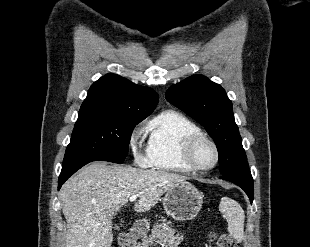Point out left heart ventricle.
Instances as JSON below:
<instances>
[{
	"instance_id": "b2bd125f",
	"label": "left heart ventricle",
	"mask_w": 310,
	"mask_h": 247,
	"mask_svg": "<svg viewBox=\"0 0 310 247\" xmlns=\"http://www.w3.org/2000/svg\"><path fill=\"white\" fill-rule=\"evenodd\" d=\"M214 159L215 153L209 143L202 141L196 146L193 153V160L196 165L206 167L211 165Z\"/></svg>"
}]
</instances>
